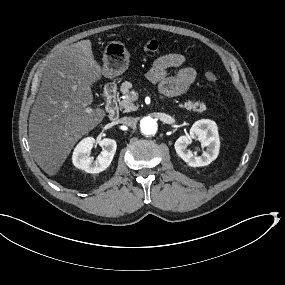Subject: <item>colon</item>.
Here are the masks:
<instances>
[{
    "label": "colon",
    "mask_w": 285,
    "mask_h": 285,
    "mask_svg": "<svg viewBox=\"0 0 285 285\" xmlns=\"http://www.w3.org/2000/svg\"><path fill=\"white\" fill-rule=\"evenodd\" d=\"M141 46L145 52H149V53L157 52L160 48L159 42L155 39L146 40L142 42ZM205 78L210 83H216L218 80L217 76L211 71H207L205 73Z\"/></svg>",
    "instance_id": "colon-1"
}]
</instances>
